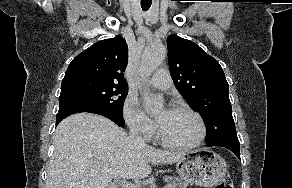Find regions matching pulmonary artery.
Masks as SVG:
<instances>
[{
    "label": "pulmonary artery",
    "mask_w": 292,
    "mask_h": 188,
    "mask_svg": "<svg viewBox=\"0 0 292 188\" xmlns=\"http://www.w3.org/2000/svg\"><path fill=\"white\" fill-rule=\"evenodd\" d=\"M149 83L159 90H168L172 86V79L166 68H160L152 75Z\"/></svg>",
    "instance_id": "obj_1"
}]
</instances>
